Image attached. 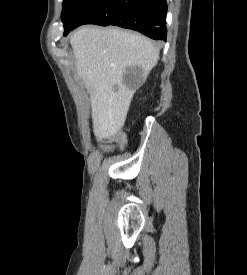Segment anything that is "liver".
<instances>
[{
    "mask_svg": "<svg viewBox=\"0 0 247 275\" xmlns=\"http://www.w3.org/2000/svg\"><path fill=\"white\" fill-rule=\"evenodd\" d=\"M76 70L91 95L96 138L114 136L124 125L134 88L124 82L128 68L146 78L158 61L159 48L147 37L116 28L83 27L70 38Z\"/></svg>",
    "mask_w": 247,
    "mask_h": 275,
    "instance_id": "1",
    "label": "liver"
}]
</instances>
